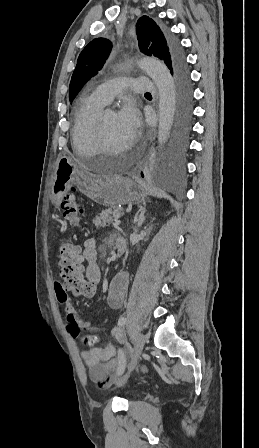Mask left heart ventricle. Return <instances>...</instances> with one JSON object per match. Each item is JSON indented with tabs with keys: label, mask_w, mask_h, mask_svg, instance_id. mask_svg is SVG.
<instances>
[{
	"label": "left heart ventricle",
	"mask_w": 259,
	"mask_h": 448,
	"mask_svg": "<svg viewBox=\"0 0 259 448\" xmlns=\"http://www.w3.org/2000/svg\"><path fill=\"white\" fill-rule=\"evenodd\" d=\"M105 129L107 140L116 152L129 146L130 136L118 121L116 113L108 112L105 118ZM77 153L84 160L87 157L102 155L98 147L97 150H79Z\"/></svg>",
	"instance_id": "obj_1"
}]
</instances>
